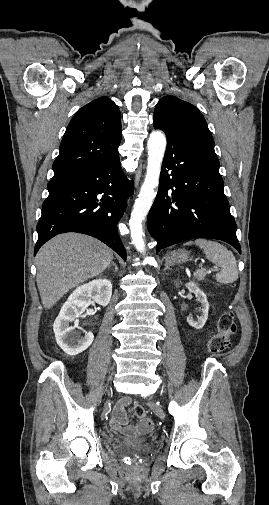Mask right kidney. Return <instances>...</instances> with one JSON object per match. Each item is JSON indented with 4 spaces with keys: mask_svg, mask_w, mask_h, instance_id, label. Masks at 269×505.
<instances>
[{
    "mask_svg": "<svg viewBox=\"0 0 269 505\" xmlns=\"http://www.w3.org/2000/svg\"><path fill=\"white\" fill-rule=\"evenodd\" d=\"M112 295V284L107 279L92 280L76 288L62 306L56 318L53 330L57 344L71 356L85 351L93 342L94 335L88 332L84 337L70 326V322H77V318L88 308L91 302L107 306Z\"/></svg>",
    "mask_w": 269,
    "mask_h": 505,
    "instance_id": "ca27d5eb",
    "label": "right kidney"
}]
</instances>
